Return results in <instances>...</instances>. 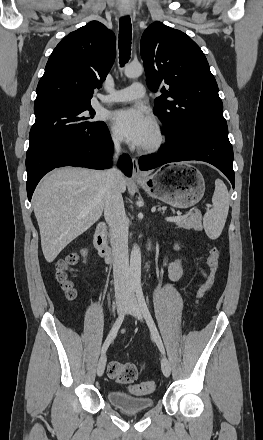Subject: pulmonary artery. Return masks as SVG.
<instances>
[{
	"label": "pulmonary artery",
	"instance_id": "obj_1",
	"mask_svg": "<svg viewBox=\"0 0 263 440\" xmlns=\"http://www.w3.org/2000/svg\"><path fill=\"white\" fill-rule=\"evenodd\" d=\"M144 95V85L141 82H135L124 89L112 91L109 95L101 96L100 102L103 104L126 102L140 99Z\"/></svg>",
	"mask_w": 263,
	"mask_h": 440
}]
</instances>
